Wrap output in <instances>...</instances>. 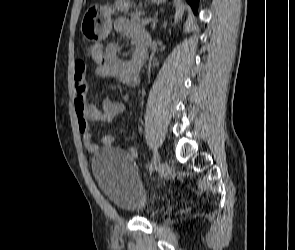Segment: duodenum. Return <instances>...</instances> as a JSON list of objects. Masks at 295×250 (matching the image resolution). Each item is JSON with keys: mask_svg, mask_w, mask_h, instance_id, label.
<instances>
[{"mask_svg": "<svg viewBox=\"0 0 295 250\" xmlns=\"http://www.w3.org/2000/svg\"><path fill=\"white\" fill-rule=\"evenodd\" d=\"M144 61H145V57H142V58L140 59V65H141V66L144 64Z\"/></svg>", "mask_w": 295, "mask_h": 250, "instance_id": "duodenum-1", "label": "duodenum"}]
</instances>
